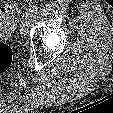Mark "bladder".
Instances as JSON below:
<instances>
[{"label": "bladder", "mask_w": 113, "mask_h": 113, "mask_svg": "<svg viewBox=\"0 0 113 113\" xmlns=\"http://www.w3.org/2000/svg\"><path fill=\"white\" fill-rule=\"evenodd\" d=\"M14 23L8 16L0 15V39L7 38L13 31Z\"/></svg>", "instance_id": "1"}]
</instances>
